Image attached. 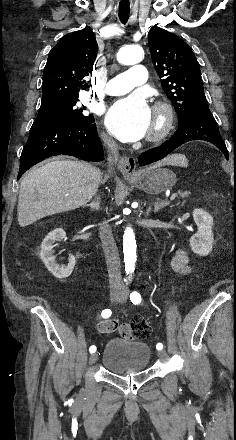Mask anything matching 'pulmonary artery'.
Listing matches in <instances>:
<instances>
[{"instance_id": "1", "label": "pulmonary artery", "mask_w": 236, "mask_h": 440, "mask_svg": "<svg viewBox=\"0 0 236 440\" xmlns=\"http://www.w3.org/2000/svg\"><path fill=\"white\" fill-rule=\"evenodd\" d=\"M147 79V70L143 65H134L127 71L111 78L105 92L108 95H123L143 85Z\"/></svg>"}]
</instances>
